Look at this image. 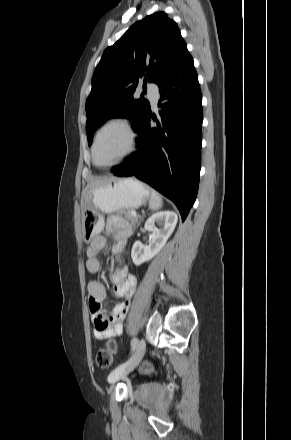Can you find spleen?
<instances>
[{
	"mask_svg": "<svg viewBox=\"0 0 291 440\" xmlns=\"http://www.w3.org/2000/svg\"><path fill=\"white\" fill-rule=\"evenodd\" d=\"M162 206V197L155 191L151 190V197L149 200V209L158 210Z\"/></svg>",
	"mask_w": 291,
	"mask_h": 440,
	"instance_id": "1",
	"label": "spleen"
}]
</instances>
